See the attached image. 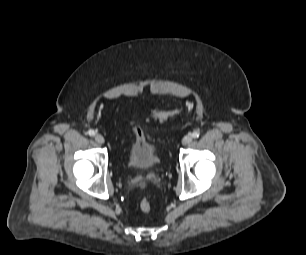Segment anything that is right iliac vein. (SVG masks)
Here are the masks:
<instances>
[{"mask_svg":"<svg viewBox=\"0 0 306 255\" xmlns=\"http://www.w3.org/2000/svg\"><path fill=\"white\" fill-rule=\"evenodd\" d=\"M94 139H95V141H96L97 143H99V144H103L104 141H105L104 137H103L101 134H96V135L94 136Z\"/></svg>","mask_w":306,"mask_h":255,"instance_id":"right-iliac-vein-1","label":"right iliac vein"}]
</instances>
